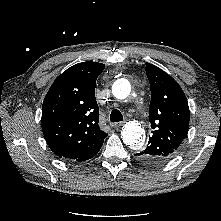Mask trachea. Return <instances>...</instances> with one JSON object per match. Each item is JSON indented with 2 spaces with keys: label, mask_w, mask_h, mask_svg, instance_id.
<instances>
[{
  "label": "trachea",
  "mask_w": 221,
  "mask_h": 221,
  "mask_svg": "<svg viewBox=\"0 0 221 221\" xmlns=\"http://www.w3.org/2000/svg\"><path fill=\"white\" fill-rule=\"evenodd\" d=\"M110 120H111V122L123 121V115L119 110L114 109L111 111Z\"/></svg>",
  "instance_id": "trachea-1"
}]
</instances>
